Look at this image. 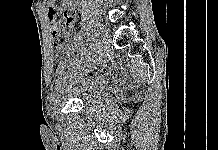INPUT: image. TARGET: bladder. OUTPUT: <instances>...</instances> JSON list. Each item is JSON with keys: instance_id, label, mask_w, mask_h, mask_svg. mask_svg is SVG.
Returning <instances> with one entry per match:
<instances>
[{"instance_id": "obj_1", "label": "bladder", "mask_w": 218, "mask_h": 150, "mask_svg": "<svg viewBox=\"0 0 218 150\" xmlns=\"http://www.w3.org/2000/svg\"><path fill=\"white\" fill-rule=\"evenodd\" d=\"M73 61H67L63 69L57 73L56 84L60 93L82 99L84 102L88 100L87 87L84 81L79 77L72 67Z\"/></svg>"}]
</instances>
